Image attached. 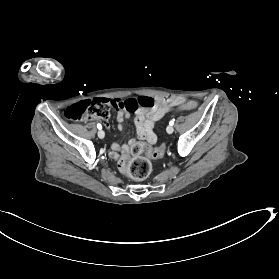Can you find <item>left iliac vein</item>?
Returning a JSON list of instances; mask_svg holds the SVG:
<instances>
[{"label":"left iliac vein","mask_w":279,"mask_h":279,"mask_svg":"<svg viewBox=\"0 0 279 279\" xmlns=\"http://www.w3.org/2000/svg\"><path fill=\"white\" fill-rule=\"evenodd\" d=\"M166 131H167L168 134H172L173 131H174L173 126H172V125H169V126L166 128Z\"/></svg>","instance_id":"left-iliac-vein-1"}]
</instances>
